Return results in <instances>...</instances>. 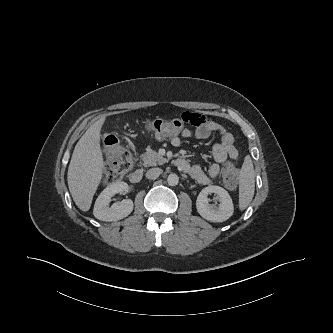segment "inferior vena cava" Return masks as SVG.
Instances as JSON below:
<instances>
[{
    "label": "inferior vena cava",
    "mask_w": 333,
    "mask_h": 333,
    "mask_svg": "<svg viewBox=\"0 0 333 333\" xmlns=\"http://www.w3.org/2000/svg\"><path fill=\"white\" fill-rule=\"evenodd\" d=\"M162 169L160 168H151L146 173V178L154 180L162 174Z\"/></svg>",
    "instance_id": "inferior-vena-cava-1"
}]
</instances>
